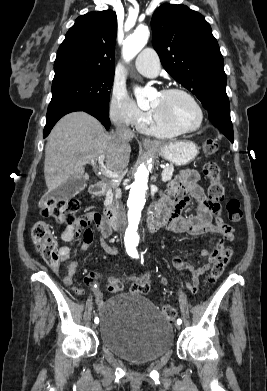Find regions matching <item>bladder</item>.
<instances>
[{
    "label": "bladder",
    "instance_id": "1",
    "mask_svg": "<svg viewBox=\"0 0 267 391\" xmlns=\"http://www.w3.org/2000/svg\"><path fill=\"white\" fill-rule=\"evenodd\" d=\"M99 319L102 346L126 361L151 362L173 347L172 324L143 295L111 296L100 306Z\"/></svg>",
    "mask_w": 267,
    "mask_h": 391
}]
</instances>
